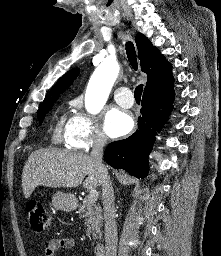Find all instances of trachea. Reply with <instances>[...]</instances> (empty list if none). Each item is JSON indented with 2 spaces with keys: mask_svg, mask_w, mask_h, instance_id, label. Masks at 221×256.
I'll return each instance as SVG.
<instances>
[{
  "mask_svg": "<svg viewBox=\"0 0 221 256\" xmlns=\"http://www.w3.org/2000/svg\"><path fill=\"white\" fill-rule=\"evenodd\" d=\"M126 54H127L128 60L131 64V66L133 67V69L137 70V66H138L137 57H136L135 47L132 42L126 43ZM142 91H143L142 84L138 85L135 88L134 97L137 102H140V100H141Z\"/></svg>",
  "mask_w": 221,
  "mask_h": 256,
  "instance_id": "1",
  "label": "trachea"
}]
</instances>
